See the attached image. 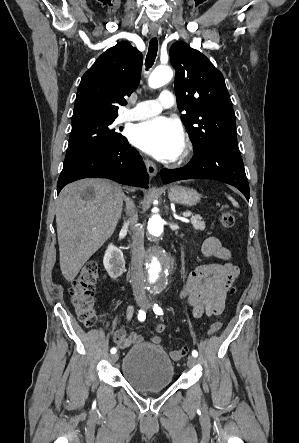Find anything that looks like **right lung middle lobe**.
<instances>
[{
  "instance_id": "1",
  "label": "right lung middle lobe",
  "mask_w": 299,
  "mask_h": 443,
  "mask_svg": "<svg viewBox=\"0 0 299 443\" xmlns=\"http://www.w3.org/2000/svg\"><path fill=\"white\" fill-rule=\"evenodd\" d=\"M116 117L88 118L72 123L63 169L101 150L109 149L126 138L113 122ZM121 130V129H120Z\"/></svg>"
}]
</instances>
